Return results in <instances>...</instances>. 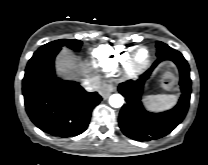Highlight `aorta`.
<instances>
[{"label":"aorta","instance_id":"obj_1","mask_svg":"<svg viewBox=\"0 0 208 165\" xmlns=\"http://www.w3.org/2000/svg\"><path fill=\"white\" fill-rule=\"evenodd\" d=\"M109 104L114 108H120L124 104V98L120 94H112L109 98Z\"/></svg>","mask_w":208,"mask_h":165}]
</instances>
